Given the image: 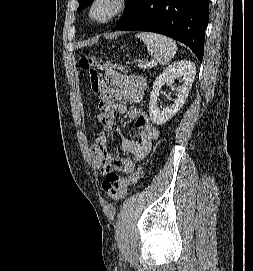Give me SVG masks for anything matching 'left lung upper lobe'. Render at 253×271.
<instances>
[{
    "instance_id": "obj_1",
    "label": "left lung upper lobe",
    "mask_w": 253,
    "mask_h": 271,
    "mask_svg": "<svg viewBox=\"0 0 253 271\" xmlns=\"http://www.w3.org/2000/svg\"><path fill=\"white\" fill-rule=\"evenodd\" d=\"M93 0H78L79 2V7L77 11H82L85 9ZM134 1L135 0H128V3L126 4L125 8V13L124 15L120 18L119 22L117 23V27L129 16L131 13L133 7H134Z\"/></svg>"
}]
</instances>
